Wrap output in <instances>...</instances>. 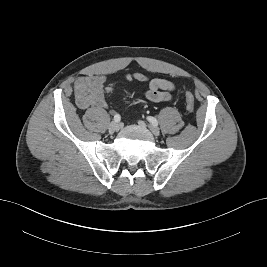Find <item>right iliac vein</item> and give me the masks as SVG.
<instances>
[{"mask_svg": "<svg viewBox=\"0 0 267 267\" xmlns=\"http://www.w3.org/2000/svg\"><path fill=\"white\" fill-rule=\"evenodd\" d=\"M118 129H119L118 122L112 121L109 124L108 130H109L110 133H115L116 131H118Z\"/></svg>", "mask_w": 267, "mask_h": 267, "instance_id": "1", "label": "right iliac vein"}]
</instances>
